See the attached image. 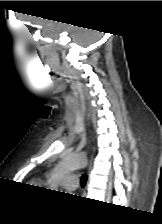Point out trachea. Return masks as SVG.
I'll list each match as a JSON object with an SVG mask.
<instances>
[{"mask_svg":"<svg viewBox=\"0 0 162 224\" xmlns=\"http://www.w3.org/2000/svg\"><path fill=\"white\" fill-rule=\"evenodd\" d=\"M86 181H87V175L84 174V175L81 177V186H82V187L85 186Z\"/></svg>","mask_w":162,"mask_h":224,"instance_id":"1","label":"trachea"}]
</instances>
